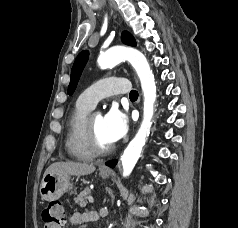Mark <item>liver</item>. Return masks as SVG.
Returning a JSON list of instances; mask_svg holds the SVG:
<instances>
[{"label": "liver", "instance_id": "1", "mask_svg": "<svg viewBox=\"0 0 238 228\" xmlns=\"http://www.w3.org/2000/svg\"><path fill=\"white\" fill-rule=\"evenodd\" d=\"M95 171L93 164L78 163V162H56L51 164L45 171L48 173H59L65 175L83 176L91 174Z\"/></svg>", "mask_w": 238, "mask_h": 228}]
</instances>
